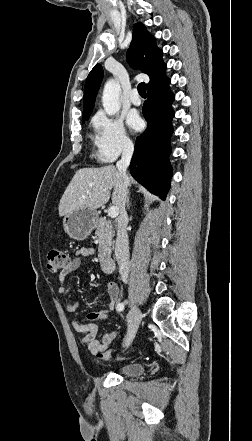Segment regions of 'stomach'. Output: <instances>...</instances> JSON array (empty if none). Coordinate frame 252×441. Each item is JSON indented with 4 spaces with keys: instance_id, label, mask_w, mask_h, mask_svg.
<instances>
[{
    "instance_id": "0dacf381",
    "label": "stomach",
    "mask_w": 252,
    "mask_h": 441,
    "mask_svg": "<svg viewBox=\"0 0 252 441\" xmlns=\"http://www.w3.org/2000/svg\"><path fill=\"white\" fill-rule=\"evenodd\" d=\"M98 222L96 210L78 209L64 216L63 224L67 235L75 240L86 239Z\"/></svg>"
}]
</instances>
